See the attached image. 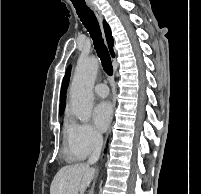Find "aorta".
<instances>
[{"label":"aorta","instance_id":"obj_1","mask_svg":"<svg viewBox=\"0 0 201 194\" xmlns=\"http://www.w3.org/2000/svg\"><path fill=\"white\" fill-rule=\"evenodd\" d=\"M96 57L79 60L70 88V109L82 122L89 120L93 108V86L98 73Z\"/></svg>","mask_w":201,"mask_h":194}]
</instances>
